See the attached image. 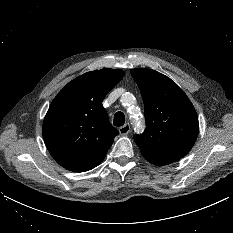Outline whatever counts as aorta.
Masks as SVG:
<instances>
[{
	"label": "aorta",
	"mask_w": 233,
	"mask_h": 233,
	"mask_svg": "<svg viewBox=\"0 0 233 233\" xmlns=\"http://www.w3.org/2000/svg\"><path fill=\"white\" fill-rule=\"evenodd\" d=\"M123 102H130L132 100V95L131 94H126L123 96ZM137 123L139 124L137 129H141L142 128V122L141 121H135V126L137 125Z\"/></svg>",
	"instance_id": "obj_1"
}]
</instances>
